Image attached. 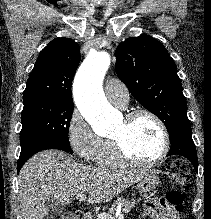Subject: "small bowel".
<instances>
[{
	"mask_svg": "<svg viewBox=\"0 0 211 219\" xmlns=\"http://www.w3.org/2000/svg\"><path fill=\"white\" fill-rule=\"evenodd\" d=\"M142 217L144 219H178L175 210L159 198L150 199L145 203Z\"/></svg>",
	"mask_w": 211,
	"mask_h": 219,
	"instance_id": "obj_1",
	"label": "small bowel"
}]
</instances>
